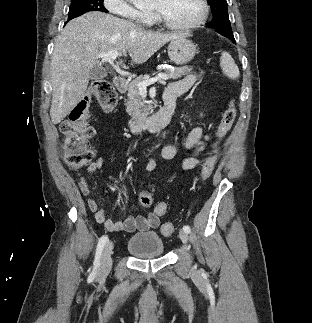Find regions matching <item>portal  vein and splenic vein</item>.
Returning a JSON list of instances; mask_svg holds the SVG:
<instances>
[{
	"label": "portal vein and splenic vein",
	"mask_w": 312,
	"mask_h": 323,
	"mask_svg": "<svg viewBox=\"0 0 312 323\" xmlns=\"http://www.w3.org/2000/svg\"><path fill=\"white\" fill-rule=\"evenodd\" d=\"M117 56H120L119 52H107V54H99L98 58H102V60H109V62H114ZM164 80H168L167 74H158L157 78H151V80H145V82L138 84V90L140 94H146L147 86H151V84H155V82H164Z\"/></svg>",
	"instance_id": "1"
}]
</instances>
